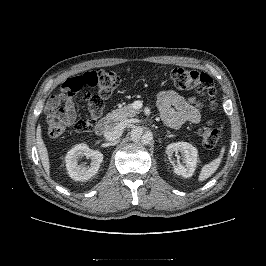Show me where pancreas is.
<instances>
[{"label": "pancreas", "instance_id": "pancreas-1", "mask_svg": "<svg viewBox=\"0 0 266 266\" xmlns=\"http://www.w3.org/2000/svg\"><path fill=\"white\" fill-rule=\"evenodd\" d=\"M136 114H138V111L135 110L131 104H129L127 106L115 109L112 112L108 113L105 119L108 122H123L126 121L128 118L134 117Z\"/></svg>", "mask_w": 266, "mask_h": 266}]
</instances>
